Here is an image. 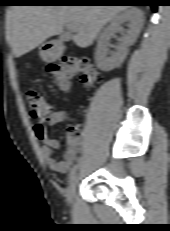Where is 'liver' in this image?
I'll return each mask as SVG.
<instances>
[{"instance_id":"liver-1","label":"liver","mask_w":170,"mask_h":231,"mask_svg":"<svg viewBox=\"0 0 170 231\" xmlns=\"http://www.w3.org/2000/svg\"><path fill=\"white\" fill-rule=\"evenodd\" d=\"M122 5L53 6L19 5L11 7L6 17V38L15 57L32 51L51 36L60 35L69 25L76 35L74 42L89 47L103 26L118 13Z\"/></svg>"}]
</instances>
